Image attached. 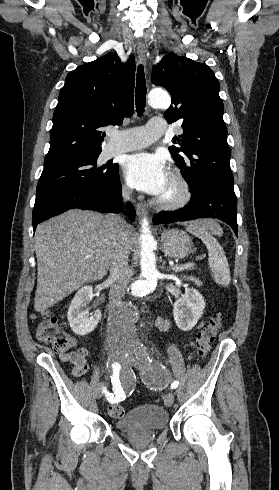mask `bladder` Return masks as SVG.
<instances>
[{
  "mask_svg": "<svg viewBox=\"0 0 279 490\" xmlns=\"http://www.w3.org/2000/svg\"><path fill=\"white\" fill-rule=\"evenodd\" d=\"M168 422V413L161 406L138 405L116 420L114 427L120 433L125 431L159 432L168 425Z\"/></svg>",
  "mask_w": 279,
  "mask_h": 490,
  "instance_id": "obj_1",
  "label": "bladder"
}]
</instances>
